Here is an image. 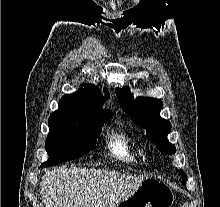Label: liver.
Listing matches in <instances>:
<instances>
[{
    "instance_id": "liver-1",
    "label": "liver",
    "mask_w": 220,
    "mask_h": 207,
    "mask_svg": "<svg viewBox=\"0 0 220 207\" xmlns=\"http://www.w3.org/2000/svg\"><path fill=\"white\" fill-rule=\"evenodd\" d=\"M143 180L117 171L63 166L47 170L40 192L46 207H116Z\"/></svg>"
}]
</instances>
